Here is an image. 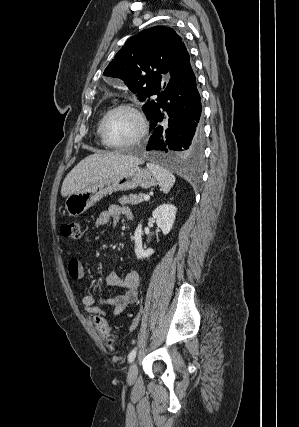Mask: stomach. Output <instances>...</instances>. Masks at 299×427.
I'll return each mask as SVG.
<instances>
[{
  "mask_svg": "<svg viewBox=\"0 0 299 427\" xmlns=\"http://www.w3.org/2000/svg\"><path fill=\"white\" fill-rule=\"evenodd\" d=\"M155 184L156 178L151 171L138 166L133 167L69 195L65 200V209L69 216L77 217L109 194L137 187L148 189Z\"/></svg>",
  "mask_w": 299,
  "mask_h": 427,
  "instance_id": "1",
  "label": "stomach"
}]
</instances>
